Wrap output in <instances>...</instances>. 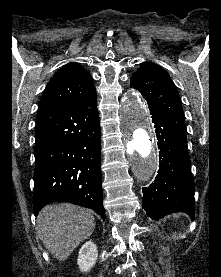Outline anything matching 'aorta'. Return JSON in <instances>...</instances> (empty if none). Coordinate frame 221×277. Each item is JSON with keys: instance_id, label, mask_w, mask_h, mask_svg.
<instances>
[{"instance_id": "aorta-1", "label": "aorta", "mask_w": 221, "mask_h": 277, "mask_svg": "<svg viewBox=\"0 0 221 277\" xmlns=\"http://www.w3.org/2000/svg\"><path fill=\"white\" fill-rule=\"evenodd\" d=\"M119 117L127 150L134 157L133 172L139 180L147 181L157 170L158 160L149 115L138 93L128 92L121 99Z\"/></svg>"}]
</instances>
